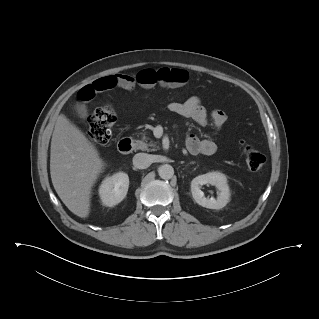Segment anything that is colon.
<instances>
[{
    "instance_id": "1",
    "label": "colon",
    "mask_w": 319,
    "mask_h": 319,
    "mask_svg": "<svg viewBox=\"0 0 319 319\" xmlns=\"http://www.w3.org/2000/svg\"><path fill=\"white\" fill-rule=\"evenodd\" d=\"M115 122L116 112L111 105H104L98 108L89 120V140L95 144H107L110 141L112 127ZM244 155L246 165L250 171L259 172L262 170L266 157L261 151L246 145L244 147Z\"/></svg>"
}]
</instances>
